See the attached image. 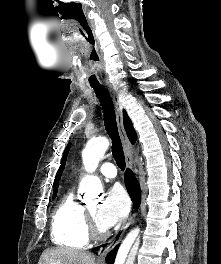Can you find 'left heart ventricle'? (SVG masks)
Here are the masks:
<instances>
[{"label":"left heart ventricle","instance_id":"1","mask_svg":"<svg viewBox=\"0 0 221 264\" xmlns=\"http://www.w3.org/2000/svg\"><path fill=\"white\" fill-rule=\"evenodd\" d=\"M87 209L94 215V217H95V214H96V210H97V205L96 204H94V205H89L88 207H87ZM95 219H96V217H95ZM99 225V224H98ZM100 226V225H99ZM101 227V226H100ZM102 228V227H101Z\"/></svg>","mask_w":221,"mask_h":264}]
</instances>
